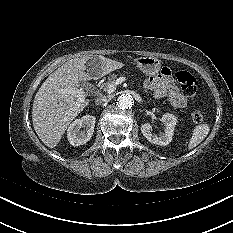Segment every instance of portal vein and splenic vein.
<instances>
[{"instance_id": "portal-vein-and-splenic-vein-1", "label": "portal vein and splenic vein", "mask_w": 233, "mask_h": 233, "mask_svg": "<svg viewBox=\"0 0 233 233\" xmlns=\"http://www.w3.org/2000/svg\"><path fill=\"white\" fill-rule=\"evenodd\" d=\"M121 82L122 80L119 78L115 80L112 84H110L107 88L108 93H112L116 89L117 85L120 84ZM65 92L75 95L78 98V101H83V99L85 98L84 92L79 89L72 90V89L67 88Z\"/></svg>"}]
</instances>
